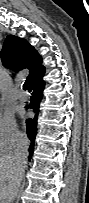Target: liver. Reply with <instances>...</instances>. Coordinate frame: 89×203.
<instances>
[{
    "label": "liver",
    "instance_id": "liver-1",
    "mask_svg": "<svg viewBox=\"0 0 89 203\" xmlns=\"http://www.w3.org/2000/svg\"><path fill=\"white\" fill-rule=\"evenodd\" d=\"M19 179L18 161L14 155L0 157V197L8 203L14 198V190Z\"/></svg>",
    "mask_w": 89,
    "mask_h": 203
}]
</instances>
